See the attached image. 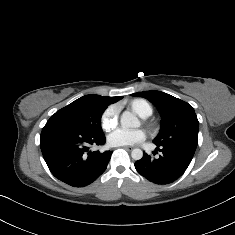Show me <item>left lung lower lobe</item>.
<instances>
[{
	"mask_svg": "<svg viewBox=\"0 0 235 235\" xmlns=\"http://www.w3.org/2000/svg\"><path fill=\"white\" fill-rule=\"evenodd\" d=\"M157 147V150L162 152L159 158L144 154L142 159L135 162V168L151 182L157 184L173 182L187 169L195 150L178 144Z\"/></svg>",
	"mask_w": 235,
	"mask_h": 235,
	"instance_id": "1",
	"label": "left lung lower lobe"
}]
</instances>
